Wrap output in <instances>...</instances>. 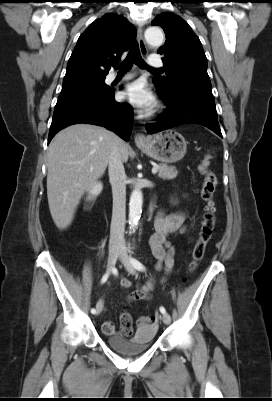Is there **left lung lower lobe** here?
<instances>
[{
  "mask_svg": "<svg viewBox=\"0 0 272 401\" xmlns=\"http://www.w3.org/2000/svg\"><path fill=\"white\" fill-rule=\"evenodd\" d=\"M157 91L168 108L160 115L158 123L146 125L149 134L184 123H196L222 137L212 91L190 87H175L166 93Z\"/></svg>",
  "mask_w": 272,
  "mask_h": 401,
  "instance_id": "0a47b994",
  "label": "left lung lower lobe"
}]
</instances>
